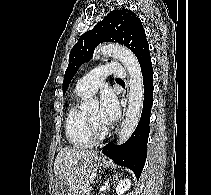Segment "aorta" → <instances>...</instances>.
<instances>
[{"label": "aorta", "instance_id": "1", "mask_svg": "<svg viewBox=\"0 0 211 195\" xmlns=\"http://www.w3.org/2000/svg\"><path fill=\"white\" fill-rule=\"evenodd\" d=\"M96 54L112 56L119 60L129 75L128 109L122 128L118 134L117 143L123 144L135 131L143 108L144 85L141 67L136 56L127 48L115 44H103L97 47ZM98 106V101L93 98L86 99L81 104V109L90 110Z\"/></svg>", "mask_w": 211, "mask_h": 195}]
</instances>
